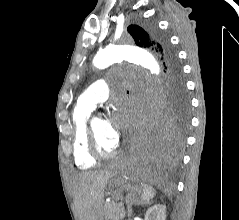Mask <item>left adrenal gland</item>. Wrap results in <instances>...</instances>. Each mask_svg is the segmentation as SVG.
I'll list each match as a JSON object with an SVG mask.
<instances>
[{
  "instance_id": "left-adrenal-gland-1",
  "label": "left adrenal gland",
  "mask_w": 239,
  "mask_h": 220,
  "mask_svg": "<svg viewBox=\"0 0 239 220\" xmlns=\"http://www.w3.org/2000/svg\"><path fill=\"white\" fill-rule=\"evenodd\" d=\"M125 202L127 205L128 217L132 216V213H133L132 206L133 205H143V203L138 198H136L135 196H131V195H128L126 197Z\"/></svg>"
}]
</instances>
